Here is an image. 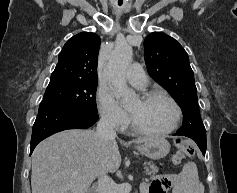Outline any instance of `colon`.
Masks as SVG:
<instances>
[{
	"mask_svg": "<svg viewBox=\"0 0 237 193\" xmlns=\"http://www.w3.org/2000/svg\"><path fill=\"white\" fill-rule=\"evenodd\" d=\"M175 146L177 149L173 157V162L175 164H178L185 158H192L195 156L196 148L191 141L179 138L175 141Z\"/></svg>",
	"mask_w": 237,
	"mask_h": 193,
	"instance_id": "obj_1",
	"label": "colon"
}]
</instances>
